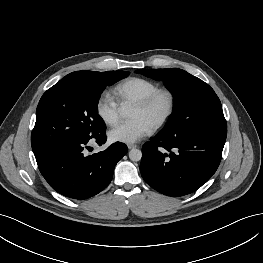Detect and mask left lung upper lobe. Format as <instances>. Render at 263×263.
I'll return each mask as SVG.
<instances>
[{
  "label": "left lung upper lobe",
  "instance_id": "5c2ea615",
  "mask_svg": "<svg viewBox=\"0 0 263 263\" xmlns=\"http://www.w3.org/2000/svg\"><path fill=\"white\" fill-rule=\"evenodd\" d=\"M136 73L163 81L174 95L173 114L162 133L184 135L227 129L218 96L201 79L177 68L140 69Z\"/></svg>",
  "mask_w": 263,
  "mask_h": 263
}]
</instances>
